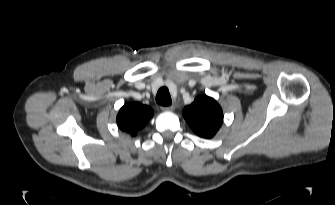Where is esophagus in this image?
Masks as SVG:
<instances>
[{"label":"esophagus","mask_w":335,"mask_h":205,"mask_svg":"<svg viewBox=\"0 0 335 205\" xmlns=\"http://www.w3.org/2000/svg\"><path fill=\"white\" fill-rule=\"evenodd\" d=\"M161 109L163 111H173L175 109V106L174 105H170V106H163L161 107Z\"/></svg>","instance_id":"esophagus-1"}]
</instances>
